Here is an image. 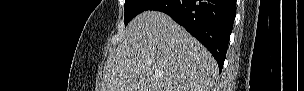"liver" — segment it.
Masks as SVG:
<instances>
[{"instance_id":"6515ba94","label":"liver","mask_w":304,"mask_h":91,"mask_svg":"<svg viewBox=\"0 0 304 91\" xmlns=\"http://www.w3.org/2000/svg\"><path fill=\"white\" fill-rule=\"evenodd\" d=\"M218 74L211 53L159 11H145L104 67L101 91H210Z\"/></svg>"}]
</instances>
